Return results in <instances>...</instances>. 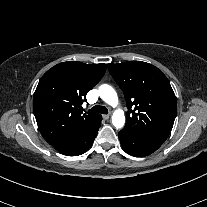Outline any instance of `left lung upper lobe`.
Returning a JSON list of instances; mask_svg holds the SVG:
<instances>
[{
    "label": "left lung upper lobe",
    "instance_id": "1",
    "mask_svg": "<svg viewBox=\"0 0 207 207\" xmlns=\"http://www.w3.org/2000/svg\"><path fill=\"white\" fill-rule=\"evenodd\" d=\"M107 66L126 98L128 112L124 128L166 140L177 111L176 97L166 76L142 61Z\"/></svg>",
    "mask_w": 207,
    "mask_h": 207
}]
</instances>
